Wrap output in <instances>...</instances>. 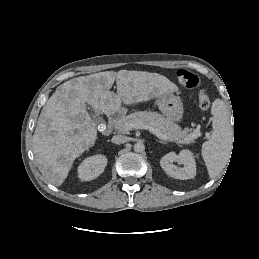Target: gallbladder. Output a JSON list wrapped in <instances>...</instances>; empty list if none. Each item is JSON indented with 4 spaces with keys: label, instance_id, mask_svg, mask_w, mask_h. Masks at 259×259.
Returning a JSON list of instances; mask_svg holds the SVG:
<instances>
[{
    "label": "gallbladder",
    "instance_id": "gallbladder-1",
    "mask_svg": "<svg viewBox=\"0 0 259 259\" xmlns=\"http://www.w3.org/2000/svg\"><path fill=\"white\" fill-rule=\"evenodd\" d=\"M93 118H94V121L96 122L97 125L104 122L102 117L98 116L96 113L95 114L93 113Z\"/></svg>",
    "mask_w": 259,
    "mask_h": 259
}]
</instances>
